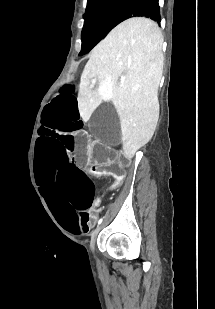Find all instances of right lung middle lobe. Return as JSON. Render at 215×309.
Instances as JSON below:
<instances>
[{
    "mask_svg": "<svg viewBox=\"0 0 215 309\" xmlns=\"http://www.w3.org/2000/svg\"><path fill=\"white\" fill-rule=\"evenodd\" d=\"M130 0H88L82 30V49L79 55L89 52L108 32Z\"/></svg>",
    "mask_w": 215,
    "mask_h": 309,
    "instance_id": "right-lung-middle-lobe-1",
    "label": "right lung middle lobe"
}]
</instances>
